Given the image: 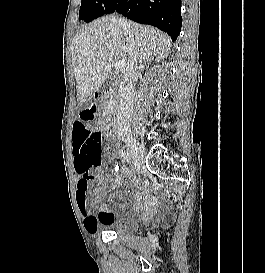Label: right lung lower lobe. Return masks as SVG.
Listing matches in <instances>:
<instances>
[{"mask_svg": "<svg viewBox=\"0 0 265 273\" xmlns=\"http://www.w3.org/2000/svg\"><path fill=\"white\" fill-rule=\"evenodd\" d=\"M116 11L138 23L159 28L173 41L181 31V0H119L113 12Z\"/></svg>", "mask_w": 265, "mask_h": 273, "instance_id": "obj_1", "label": "right lung lower lobe"}]
</instances>
